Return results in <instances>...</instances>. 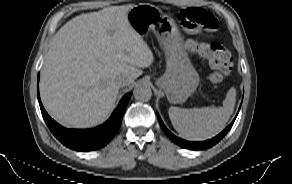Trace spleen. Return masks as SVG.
I'll use <instances>...</instances> for the list:
<instances>
[{"instance_id":"3e777b00","label":"spleen","mask_w":292,"mask_h":184,"mask_svg":"<svg viewBox=\"0 0 292 184\" xmlns=\"http://www.w3.org/2000/svg\"><path fill=\"white\" fill-rule=\"evenodd\" d=\"M236 90L230 88L223 107L182 109L170 107L169 117L174 129L187 140L202 141L218 134L234 111Z\"/></svg>"}]
</instances>
